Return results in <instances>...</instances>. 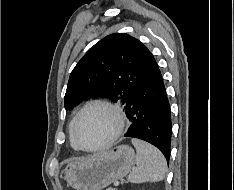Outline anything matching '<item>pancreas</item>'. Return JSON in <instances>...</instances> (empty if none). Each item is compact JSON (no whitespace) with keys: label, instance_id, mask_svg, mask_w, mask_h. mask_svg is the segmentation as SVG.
Listing matches in <instances>:
<instances>
[{"label":"pancreas","instance_id":"pancreas-1","mask_svg":"<svg viewBox=\"0 0 234 190\" xmlns=\"http://www.w3.org/2000/svg\"><path fill=\"white\" fill-rule=\"evenodd\" d=\"M107 190H116L115 188H108Z\"/></svg>","mask_w":234,"mask_h":190}]
</instances>
